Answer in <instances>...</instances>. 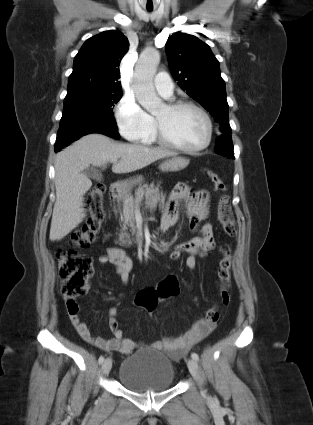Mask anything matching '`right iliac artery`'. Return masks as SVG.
Returning <instances> with one entry per match:
<instances>
[{"label": "right iliac artery", "mask_w": 313, "mask_h": 425, "mask_svg": "<svg viewBox=\"0 0 313 425\" xmlns=\"http://www.w3.org/2000/svg\"><path fill=\"white\" fill-rule=\"evenodd\" d=\"M98 362L99 364H102L104 362V356H100Z\"/></svg>", "instance_id": "82829eb1"}]
</instances>
